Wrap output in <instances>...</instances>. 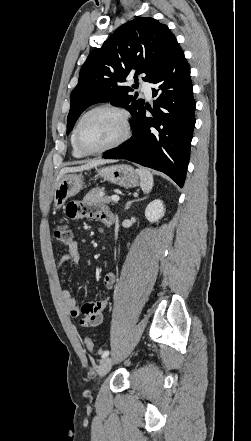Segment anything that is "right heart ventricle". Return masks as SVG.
<instances>
[{"label":"right heart ventricle","instance_id":"1","mask_svg":"<svg viewBox=\"0 0 251 441\" xmlns=\"http://www.w3.org/2000/svg\"><path fill=\"white\" fill-rule=\"evenodd\" d=\"M71 146H72V153H73L74 157H76V158H82V157L85 156L83 153H81V152L78 150V148H77L76 145H75L74 131H73V133H72V135H71Z\"/></svg>","mask_w":251,"mask_h":441}]
</instances>
